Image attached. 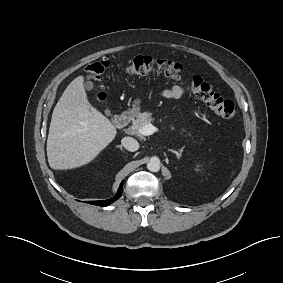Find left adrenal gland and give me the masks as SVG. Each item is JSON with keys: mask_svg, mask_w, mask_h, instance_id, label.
<instances>
[{"mask_svg": "<svg viewBox=\"0 0 283 283\" xmlns=\"http://www.w3.org/2000/svg\"><path fill=\"white\" fill-rule=\"evenodd\" d=\"M183 149H184V147H182L179 151H176V150H173V149H170V151L172 153L176 154L177 158L180 159L181 156H182Z\"/></svg>", "mask_w": 283, "mask_h": 283, "instance_id": "a2214340", "label": "left adrenal gland"}]
</instances>
